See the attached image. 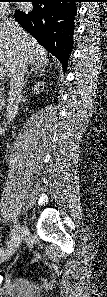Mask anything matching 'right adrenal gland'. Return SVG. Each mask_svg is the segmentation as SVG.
Listing matches in <instances>:
<instances>
[{
  "instance_id": "obj_1",
  "label": "right adrenal gland",
  "mask_w": 107,
  "mask_h": 297,
  "mask_svg": "<svg viewBox=\"0 0 107 297\" xmlns=\"http://www.w3.org/2000/svg\"><path fill=\"white\" fill-rule=\"evenodd\" d=\"M45 63H40L39 65H33L31 66L30 71L27 73L26 79H25V87L29 84V78L30 76L36 77L38 73H43L45 70L41 69Z\"/></svg>"
}]
</instances>
